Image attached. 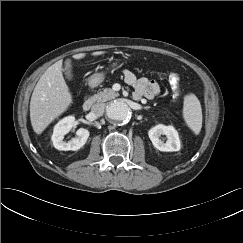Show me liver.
I'll return each mask as SVG.
<instances>
[{
  "instance_id": "1",
  "label": "liver",
  "mask_w": 243,
  "mask_h": 243,
  "mask_svg": "<svg viewBox=\"0 0 243 243\" xmlns=\"http://www.w3.org/2000/svg\"><path fill=\"white\" fill-rule=\"evenodd\" d=\"M104 51L93 52V56L104 54ZM82 59L85 53L73 55ZM72 103V95L62 74V60L51 65L37 82L30 101V120L36 134H41L47 126Z\"/></svg>"
}]
</instances>
